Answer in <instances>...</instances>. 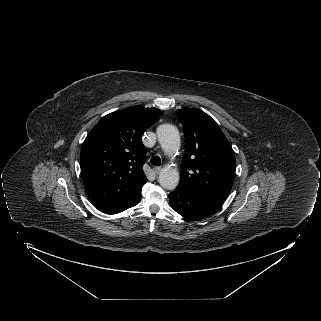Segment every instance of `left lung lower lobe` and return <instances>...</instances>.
I'll return each instance as SVG.
<instances>
[{"mask_svg": "<svg viewBox=\"0 0 321 321\" xmlns=\"http://www.w3.org/2000/svg\"><path fill=\"white\" fill-rule=\"evenodd\" d=\"M169 202L171 207L185 218L200 220L214 214L224 200L176 189L169 194Z\"/></svg>", "mask_w": 321, "mask_h": 321, "instance_id": "obj_1", "label": "left lung lower lobe"}]
</instances>
